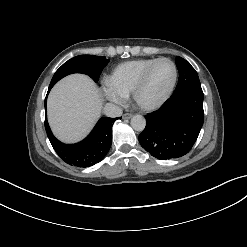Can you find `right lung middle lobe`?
<instances>
[{
    "label": "right lung middle lobe",
    "mask_w": 247,
    "mask_h": 247,
    "mask_svg": "<svg viewBox=\"0 0 247 247\" xmlns=\"http://www.w3.org/2000/svg\"><path fill=\"white\" fill-rule=\"evenodd\" d=\"M109 63L104 56L79 55L65 62L54 74L50 85L72 73H84L89 75L95 82L98 81L103 68Z\"/></svg>",
    "instance_id": "dd1d6c3e"
}]
</instances>
